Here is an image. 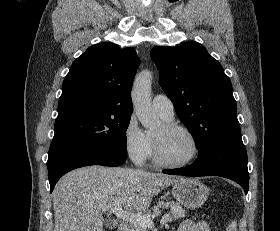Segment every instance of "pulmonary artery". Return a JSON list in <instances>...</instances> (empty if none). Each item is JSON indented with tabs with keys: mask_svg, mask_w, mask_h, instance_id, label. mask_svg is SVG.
<instances>
[{
	"mask_svg": "<svg viewBox=\"0 0 280 231\" xmlns=\"http://www.w3.org/2000/svg\"><path fill=\"white\" fill-rule=\"evenodd\" d=\"M152 108L166 119L174 118V106L165 95L159 94L152 99Z\"/></svg>",
	"mask_w": 280,
	"mask_h": 231,
	"instance_id": "e3ab8cb5",
	"label": "pulmonary artery"
}]
</instances>
